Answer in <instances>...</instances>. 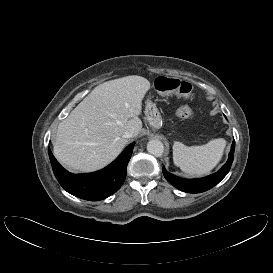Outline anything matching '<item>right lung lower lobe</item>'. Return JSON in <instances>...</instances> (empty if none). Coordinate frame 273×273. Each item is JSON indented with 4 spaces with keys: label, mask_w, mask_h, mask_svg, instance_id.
I'll return each mask as SVG.
<instances>
[{
    "label": "right lung lower lobe",
    "mask_w": 273,
    "mask_h": 273,
    "mask_svg": "<svg viewBox=\"0 0 273 273\" xmlns=\"http://www.w3.org/2000/svg\"><path fill=\"white\" fill-rule=\"evenodd\" d=\"M135 143L126 149L106 168L88 174H72L55 159L50 148L49 158L55 177L68 193L90 201L105 199L115 193L126 178V169Z\"/></svg>",
    "instance_id": "obj_1"
}]
</instances>
